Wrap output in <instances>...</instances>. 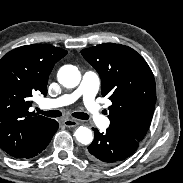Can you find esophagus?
<instances>
[{"mask_svg":"<svg viewBox=\"0 0 183 183\" xmlns=\"http://www.w3.org/2000/svg\"><path fill=\"white\" fill-rule=\"evenodd\" d=\"M62 123L66 127H75V126L80 124V122L78 120H75V119H65V120H63Z\"/></svg>","mask_w":183,"mask_h":183,"instance_id":"obj_1","label":"esophagus"}]
</instances>
